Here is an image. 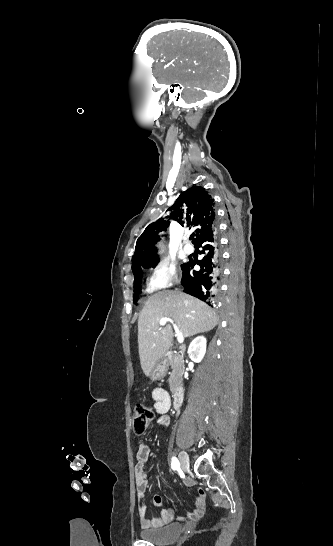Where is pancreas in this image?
<instances>
[{"label": "pancreas", "mask_w": 333, "mask_h": 546, "mask_svg": "<svg viewBox=\"0 0 333 546\" xmlns=\"http://www.w3.org/2000/svg\"><path fill=\"white\" fill-rule=\"evenodd\" d=\"M169 366L172 369L169 377L170 390L174 392L177 387L182 383L183 375V357L179 354H173L172 359L168 362Z\"/></svg>", "instance_id": "pancreas-1"}]
</instances>
